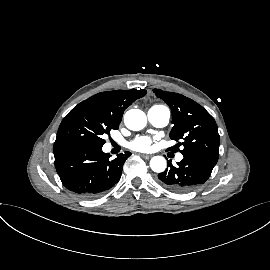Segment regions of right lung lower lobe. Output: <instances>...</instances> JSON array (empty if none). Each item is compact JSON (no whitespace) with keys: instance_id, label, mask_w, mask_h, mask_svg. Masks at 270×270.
Listing matches in <instances>:
<instances>
[{"instance_id":"right-lung-lower-lobe-1","label":"right lung lower lobe","mask_w":270,"mask_h":270,"mask_svg":"<svg viewBox=\"0 0 270 270\" xmlns=\"http://www.w3.org/2000/svg\"><path fill=\"white\" fill-rule=\"evenodd\" d=\"M130 155L126 151L110 160L102 147L77 143L54 145L55 167L63 185L85 198L98 196L112 188L119 181Z\"/></svg>"}]
</instances>
